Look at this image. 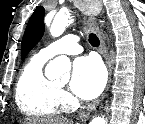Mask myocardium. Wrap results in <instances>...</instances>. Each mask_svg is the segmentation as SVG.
I'll list each match as a JSON object with an SVG mask.
<instances>
[{
    "label": "myocardium",
    "instance_id": "obj_1",
    "mask_svg": "<svg viewBox=\"0 0 145 124\" xmlns=\"http://www.w3.org/2000/svg\"><path fill=\"white\" fill-rule=\"evenodd\" d=\"M53 83H54L55 87H56L58 90H60L61 88H63L62 85H60V84H58V83H56V82H53Z\"/></svg>",
    "mask_w": 145,
    "mask_h": 124
}]
</instances>
